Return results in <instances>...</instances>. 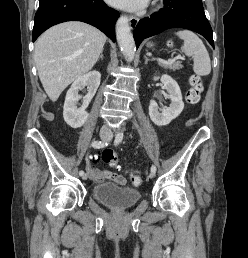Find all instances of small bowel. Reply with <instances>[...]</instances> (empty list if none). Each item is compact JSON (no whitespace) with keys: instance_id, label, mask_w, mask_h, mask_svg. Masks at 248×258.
Masks as SVG:
<instances>
[{"instance_id":"small-bowel-1","label":"small bowel","mask_w":248,"mask_h":258,"mask_svg":"<svg viewBox=\"0 0 248 258\" xmlns=\"http://www.w3.org/2000/svg\"><path fill=\"white\" fill-rule=\"evenodd\" d=\"M90 177L92 181L95 183H102L106 180H112L120 185L126 184V180L122 175L118 173L106 171V170L105 171L98 170L97 173H90Z\"/></svg>"}]
</instances>
